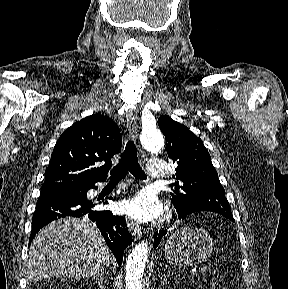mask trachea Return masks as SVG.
<instances>
[{
  "label": "trachea",
  "instance_id": "1",
  "mask_svg": "<svg viewBox=\"0 0 288 289\" xmlns=\"http://www.w3.org/2000/svg\"><path fill=\"white\" fill-rule=\"evenodd\" d=\"M131 172L139 179H146L147 176L138 163L137 148L133 141H128L123 157L119 164L110 171V180L119 181L127 173Z\"/></svg>",
  "mask_w": 288,
  "mask_h": 289
}]
</instances>
